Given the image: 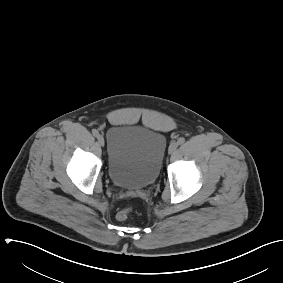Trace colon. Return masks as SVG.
<instances>
[{
  "mask_svg": "<svg viewBox=\"0 0 283 283\" xmlns=\"http://www.w3.org/2000/svg\"><path fill=\"white\" fill-rule=\"evenodd\" d=\"M130 211H131L130 208H125L123 210H120L117 213V219L120 220V221L125 220L128 217V215L130 214Z\"/></svg>",
  "mask_w": 283,
  "mask_h": 283,
  "instance_id": "colon-1",
  "label": "colon"
}]
</instances>
